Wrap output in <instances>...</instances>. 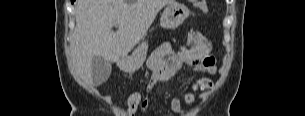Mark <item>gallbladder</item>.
Returning a JSON list of instances; mask_svg holds the SVG:
<instances>
[{
    "instance_id": "bac80fb5",
    "label": "gallbladder",
    "mask_w": 305,
    "mask_h": 116,
    "mask_svg": "<svg viewBox=\"0 0 305 116\" xmlns=\"http://www.w3.org/2000/svg\"><path fill=\"white\" fill-rule=\"evenodd\" d=\"M91 67L94 85L99 86L108 80L112 70V64L109 60L101 56H95Z\"/></svg>"
}]
</instances>
